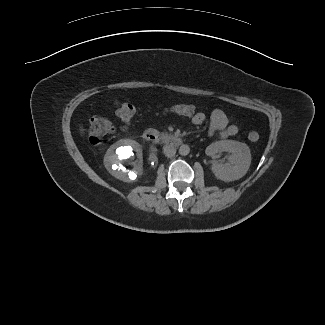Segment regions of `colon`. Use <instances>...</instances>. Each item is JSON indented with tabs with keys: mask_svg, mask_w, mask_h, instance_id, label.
Wrapping results in <instances>:
<instances>
[{
	"mask_svg": "<svg viewBox=\"0 0 325 325\" xmlns=\"http://www.w3.org/2000/svg\"><path fill=\"white\" fill-rule=\"evenodd\" d=\"M164 111L172 115L191 119L200 113L195 105L186 103L167 105L164 107ZM116 115L121 121L122 128H126L134 118L135 108L132 104L124 103L118 107ZM115 130L116 126L108 118L92 117L88 124L89 141L94 145H98L102 143L107 135L113 133ZM259 138L260 135L256 131H251L248 134V139L251 142H256Z\"/></svg>",
	"mask_w": 325,
	"mask_h": 325,
	"instance_id": "5ec220e1",
	"label": "colon"
}]
</instances>
